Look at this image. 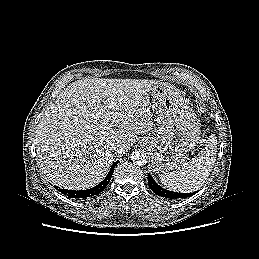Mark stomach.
<instances>
[{"instance_id": "obj_1", "label": "stomach", "mask_w": 259, "mask_h": 259, "mask_svg": "<svg viewBox=\"0 0 259 259\" xmlns=\"http://www.w3.org/2000/svg\"><path fill=\"white\" fill-rule=\"evenodd\" d=\"M159 135L142 139L151 155L152 171L169 173L179 169L200 140V127L179 89L160 84L152 92Z\"/></svg>"}]
</instances>
